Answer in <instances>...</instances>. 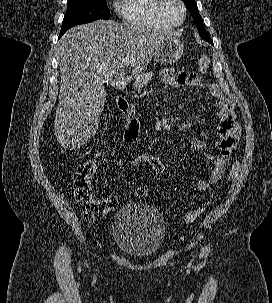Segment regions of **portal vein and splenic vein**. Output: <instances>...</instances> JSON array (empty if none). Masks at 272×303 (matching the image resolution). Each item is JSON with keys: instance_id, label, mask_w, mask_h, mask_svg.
Returning <instances> with one entry per match:
<instances>
[{"instance_id": "1", "label": "portal vein and splenic vein", "mask_w": 272, "mask_h": 303, "mask_svg": "<svg viewBox=\"0 0 272 303\" xmlns=\"http://www.w3.org/2000/svg\"><path fill=\"white\" fill-rule=\"evenodd\" d=\"M127 62H128L127 59H124V60H123V63H124V64H127Z\"/></svg>"}]
</instances>
